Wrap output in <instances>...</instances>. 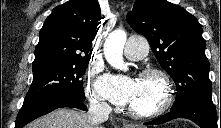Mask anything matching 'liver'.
<instances>
[{"instance_id":"liver-1","label":"liver","mask_w":221,"mask_h":128,"mask_svg":"<svg viewBox=\"0 0 221 128\" xmlns=\"http://www.w3.org/2000/svg\"><path fill=\"white\" fill-rule=\"evenodd\" d=\"M97 126L89 121L88 114L84 112L60 108L30 123L27 128H98Z\"/></svg>"}]
</instances>
